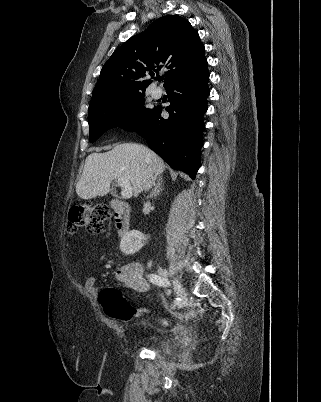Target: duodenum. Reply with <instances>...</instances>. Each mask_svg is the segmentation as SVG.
Returning a JSON list of instances; mask_svg holds the SVG:
<instances>
[{"label":"duodenum","mask_w":321,"mask_h":402,"mask_svg":"<svg viewBox=\"0 0 321 402\" xmlns=\"http://www.w3.org/2000/svg\"><path fill=\"white\" fill-rule=\"evenodd\" d=\"M110 206L114 212V222L117 232L123 236L130 230V209L129 205L123 201L113 200Z\"/></svg>","instance_id":"duodenum-1"}]
</instances>
